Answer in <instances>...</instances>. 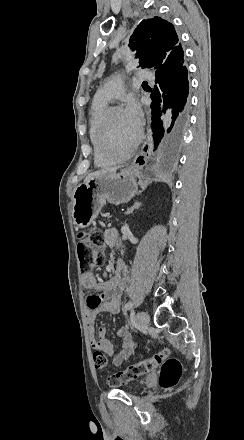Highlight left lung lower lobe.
<instances>
[{
  "mask_svg": "<svg viewBox=\"0 0 244 440\" xmlns=\"http://www.w3.org/2000/svg\"><path fill=\"white\" fill-rule=\"evenodd\" d=\"M155 87L151 91L152 129L160 130L155 136V148L164 135L163 124L166 126V134L161 145L164 155L174 154L181 146L189 121L188 96V72L184 66V59L160 66L156 72ZM169 109L166 119H161L163 113ZM162 123V125H160Z\"/></svg>",
  "mask_w": 244,
  "mask_h": 440,
  "instance_id": "1",
  "label": "left lung lower lobe"
}]
</instances>
